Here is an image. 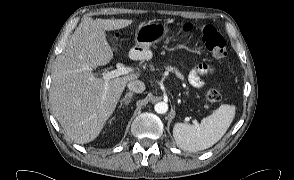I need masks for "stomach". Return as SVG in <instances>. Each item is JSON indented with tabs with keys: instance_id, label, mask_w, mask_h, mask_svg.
I'll list each match as a JSON object with an SVG mask.
<instances>
[{
	"instance_id": "0dacf381",
	"label": "stomach",
	"mask_w": 294,
	"mask_h": 180,
	"mask_svg": "<svg viewBox=\"0 0 294 180\" xmlns=\"http://www.w3.org/2000/svg\"><path fill=\"white\" fill-rule=\"evenodd\" d=\"M169 27L166 22L149 21L140 24L135 31L134 48L138 49L139 56H143L151 45L166 38Z\"/></svg>"
}]
</instances>
